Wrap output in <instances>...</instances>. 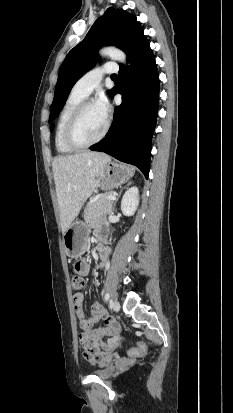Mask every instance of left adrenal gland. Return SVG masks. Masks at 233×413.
Listing matches in <instances>:
<instances>
[{
    "mask_svg": "<svg viewBox=\"0 0 233 413\" xmlns=\"http://www.w3.org/2000/svg\"><path fill=\"white\" fill-rule=\"evenodd\" d=\"M129 184H130V183H128L127 186H128ZM127 186H125V188H126ZM121 191H122V190H121ZM121 191L119 192L117 198L115 199V201H114V203H113V212H114V210H115L116 202L118 201V199H119V197H120V195H121Z\"/></svg>",
    "mask_w": 233,
    "mask_h": 413,
    "instance_id": "a2214340",
    "label": "left adrenal gland"
}]
</instances>
